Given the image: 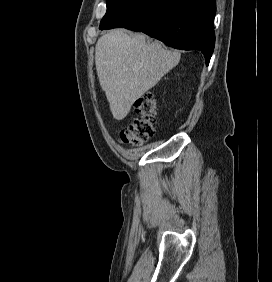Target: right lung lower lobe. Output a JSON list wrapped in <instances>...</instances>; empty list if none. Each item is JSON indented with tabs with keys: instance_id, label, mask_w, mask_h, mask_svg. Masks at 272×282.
<instances>
[{
	"instance_id": "obj_1",
	"label": "right lung lower lobe",
	"mask_w": 272,
	"mask_h": 282,
	"mask_svg": "<svg viewBox=\"0 0 272 282\" xmlns=\"http://www.w3.org/2000/svg\"><path fill=\"white\" fill-rule=\"evenodd\" d=\"M215 0H137L103 29L143 32L167 46L199 50L206 65L215 44Z\"/></svg>"
}]
</instances>
